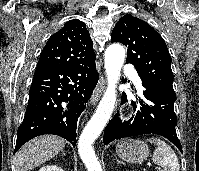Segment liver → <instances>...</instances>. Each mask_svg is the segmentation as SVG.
<instances>
[{"instance_id": "6515ba94", "label": "liver", "mask_w": 199, "mask_h": 171, "mask_svg": "<svg viewBox=\"0 0 199 171\" xmlns=\"http://www.w3.org/2000/svg\"><path fill=\"white\" fill-rule=\"evenodd\" d=\"M65 144V139L56 135H42L28 141L16 154V171L33 170L56 156Z\"/></svg>"}]
</instances>
